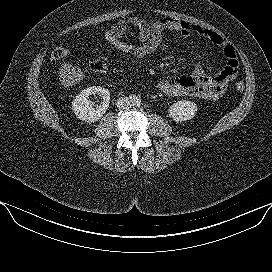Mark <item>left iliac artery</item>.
Masks as SVG:
<instances>
[{
	"label": "left iliac artery",
	"instance_id": "44dca946",
	"mask_svg": "<svg viewBox=\"0 0 272 272\" xmlns=\"http://www.w3.org/2000/svg\"><path fill=\"white\" fill-rule=\"evenodd\" d=\"M140 103H141V100H140V99H137V101H136V105H137V106H139V105H140Z\"/></svg>",
	"mask_w": 272,
	"mask_h": 272
}]
</instances>
